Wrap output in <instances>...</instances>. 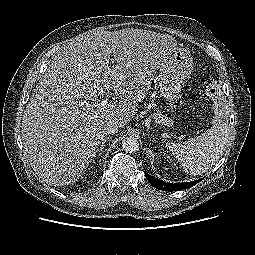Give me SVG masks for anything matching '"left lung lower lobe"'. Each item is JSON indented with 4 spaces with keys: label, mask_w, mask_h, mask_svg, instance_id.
Returning a JSON list of instances; mask_svg holds the SVG:
<instances>
[{
    "label": "left lung lower lobe",
    "mask_w": 255,
    "mask_h": 255,
    "mask_svg": "<svg viewBox=\"0 0 255 255\" xmlns=\"http://www.w3.org/2000/svg\"><path fill=\"white\" fill-rule=\"evenodd\" d=\"M147 180L149 183L154 186L157 189L163 190V191H178L182 189H188L198 182H200L202 179L192 181V182H186V183H178V184H173V183H166L158 178H155L147 173H145Z\"/></svg>",
    "instance_id": "obj_1"
}]
</instances>
